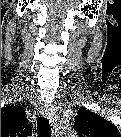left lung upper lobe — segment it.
<instances>
[{"mask_svg":"<svg viewBox=\"0 0 121 137\" xmlns=\"http://www.w3.org/2000/svg\"><path fill=\"white\" fill-rule=\"evenodd\" d=\"M74 130L80 136L88 135L93 137H117L119 131L112 123L85 108L78 111L74 123Z\"/></svg>","mask_w":121,"mask_h":137,"instance_id":"5c2ea615","label":"left lung upper lobe"}]
</instances>
